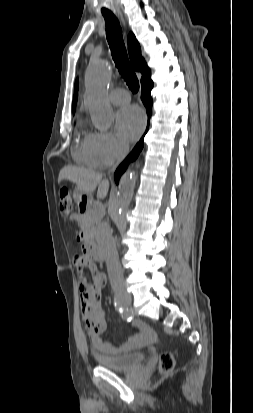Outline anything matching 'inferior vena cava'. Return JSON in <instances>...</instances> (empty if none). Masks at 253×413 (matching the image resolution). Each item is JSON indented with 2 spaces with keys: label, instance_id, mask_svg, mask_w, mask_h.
<instances>
[{
  "label": "inferior vena cava",
  "instance_id": "obj_1",
  "mask_svg": "<svg viewBox=\"0 0 253 413\" xmlns=\"http://www.w3.org/2000/svg\"><path fill=\"white\" fill-rule=\"evenodd\" d=\"M128 151L127 147L122 148L117 156V162L111 169L113 172L118 164L124 159ZM97 242L105 255L106 265L110 284L115 292L125 291V282L123 272L118 258L116 240L112 237L111 232L105 228L101 229L97 235Z\"/></svg>",
  "mask_w": 253,
  "mask_h": 413
}]
</instances>
